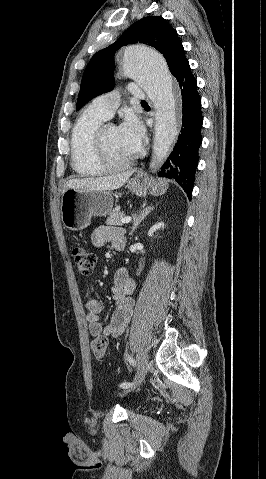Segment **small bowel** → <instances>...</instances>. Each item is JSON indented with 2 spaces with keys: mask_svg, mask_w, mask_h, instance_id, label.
I'll list each match as a JSON object with an SVG mask.
<instances>
[{
  "mask_svg": "<svg viewBox=\"0 0 266 479\" xmlns=\"http://www.w3.org/2000/svg\"><path fill=\"white\" fill-rule=\"evenodd\" d=\"M91 242L95 247L111 243L113 248L117 247L118 250H122L126 245V238L119 227L100 226L92 232ZM135 290L136 283L130 278L128 271L125 268L117 270L113 284L115 310L109 324L104 327L102 325V304L98 299L91 297V289H87L89 298L86 302V320L91 336L118 338L123 334L133 315Z\"/></svg>",
  "mask_w": 266,
  "mask_h": 479,
  "instance_id": "obj_1",
  "label": "small bowel"
}]
</instances>
